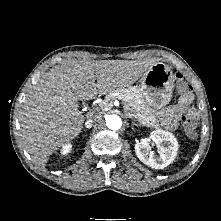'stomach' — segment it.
<instances>
[{"label": "stomach", "instance_id": "0dacf381", "mask_svg": "<svg viewBox=\"0 0 221 221\" xmlns=\"http://www.w3.org/2000/svg\"><path fill=\"white\" fill-rule=\"evenodd\" d=\"M174 89V74L171 68L162 63H155L140 80L138 90L145 106L154 110L163 109L171 101ZM147 107L149 110L150 108Z\"/></svg>", "mask_w": 221, "mask_h": 221}]
</instances>
